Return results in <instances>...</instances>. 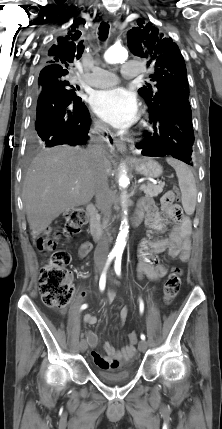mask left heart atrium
<instances>
[{
    "label": "left heart atrium",
    "instance_id": "1",
    "mask_svg": "<svg viewBox=\"0 0 222 429\" xmlns=\"http://www.w3.org/2000/svg\"><path fill=\"white\" fill-rule=\"evenodd\" d=\"M92 108L103 121L117 128L131 125L138 116L134 95L121 87L97 92Z\"/></svg>",
    "mask_w": 222,
    "mask_h": 429
}]
</instances>
